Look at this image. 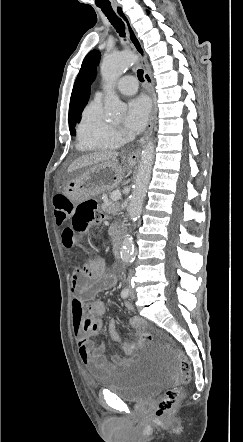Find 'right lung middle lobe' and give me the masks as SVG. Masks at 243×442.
<instances>
[{
    "label": "right lung middle lobe",
    "mask_w": 243,
    "mask_h": 442,
    "mask_svg": "<svg viewBox=\"0 0 243 442\" xmlns=\"http://www.w3.org/2000/svg\"><path fill=\"white\" fill-rule=\"evenodd\" d=\"M73 128H74V127H70V131H71V132L73 131Z\"/></svg>",
    "instance_id": "obj_1"
}]
</instances>
